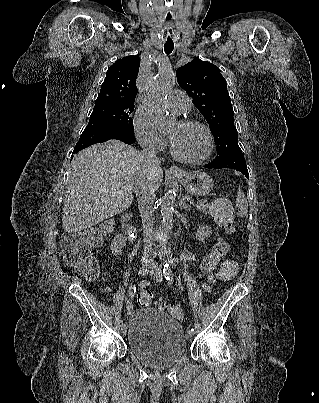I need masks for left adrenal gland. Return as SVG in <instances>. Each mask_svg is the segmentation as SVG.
I'll use <instances>...</instances> for the list:
<instances>
[{
	"label": "left adrenal gland",
	"instance_id": "a2214340",
	"mask_svg": "<svg viewBox=\"0 0 319 403\" xmlns=\"http://www.w3.org/2000/svg\"><path fill=\"white\" fill-rule=\"evenodd\" d=\"M179 207H180V210L187 209V208L190 209V206L188 204H186V198L185 197H183L180 200Z\"/></svg>",
	"mask_w": 319,
	"mask_h": 403
}]
</instances>
